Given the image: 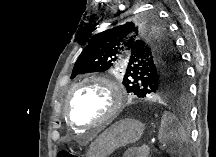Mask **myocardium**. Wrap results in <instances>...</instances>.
<instances>
[{"label": "myocardium", "instance_id": "f54148a6", "mask_svg": "<svg viewBox=\"0 0 216 157\" xmlns=\"http://www.w3.org/2000/svg\"><path fill=\"white\" fill-rule=\"evenodd\" d=\"M95 84L101 86L105 89L110 96V106L108 110L97 120L90 123H79L77 122L70 111L71 101L73 92L85 85ZM124 105V90L117 84L114 80L104 77V76H90L83 78L72 85L69 89L66 99V115L69 123L75 128H91L99 125L106 124L113 120L117 114L121 111Z\"/></svg>", "mask_w": 216, "mask_h": 157}]
</instances>
